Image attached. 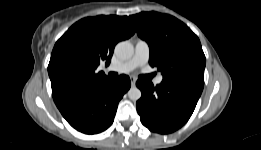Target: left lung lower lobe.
<instances>
[{
	"mask_svg": "<svg viewBox=\"0 0 261 150\" xmlns=\"http://www.w3.org/2000/svg\"><path fill=\"white\" fill-rule=\"evenodd\" d=\"M136 85L142 92V97L136 102L142 124L153 132L167 134L188 121L204 83L181 77L163 79L156 87L142 79Z\"/></svg>",
	"mask_w": 261,
	"mask_h": 150,
	"instance_id": "0a47b994",
	"label": "left lung lower lobe"
}]
</instances>
